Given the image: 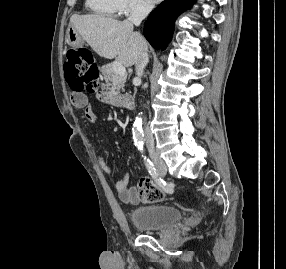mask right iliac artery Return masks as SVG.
<instances>
[{
	"label": "right iliac artery",
	"mask_w": 286,
	"mask_h": 269,
	"mask_svg": "<svg viewBox=\"0 0 286 269\" xmlns=\"http://www.w3.org/2000/svg\"><path fill=\"white\" fill-rule=\"evenodd\" d=\"M145 165L148 169V172L150 173V175L152 176V178L156 181V183L161 186L162 188H168L169 186L166 184V182L159 176V174L157 173L153 163L149 160L146 159L145 160Z\"/></svg>",
	"instance_id": "82829eb1"
}]
</instances>
